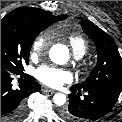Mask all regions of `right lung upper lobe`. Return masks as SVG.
<instances>
[{
    "label": "right lung upper lobe",
    "mask_w": 122,
    "mask_h": 122,
    "mask_svg": "<svg viewBox=\"0 0 122 122\" xmlns=\"http://www.w3.org/2000/svg\"><path fill=\"white\" fill-rule=\"evenodd\" d=\"M8 16H17L26 22L33 24H53L67 18V15L53 16L51 12H47L38 8L21 7L13 10Z\"/></svg>",
    "instance_id": "cb5924a9"
}]
</instances>
